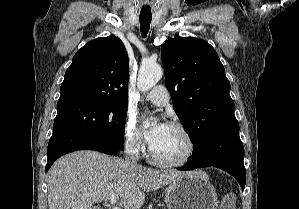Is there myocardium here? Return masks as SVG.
<instances>
[{
    "label": "myocardium",
    "instance_id": "obj_1",
    "mask_svg": "<svg viewBox=\"0 0 299 209\" xmlns=\"http://www.w3.org/2000/svg\"><path fill=\"white\" fill-rule=\"evenodd\" d=\"M167 126L179 131L184 136V138L186 139V142H187V151H186V153L183 155L182 158H180L178 160L167 161V160H163V159L158 158L153 153L151 147H149L148 155H149L151 161L159 167L174 168V167L184 166L195 155V152H196L195 139H194L193 135L191 134V132L183 124H181L179 122H170V123H168Z\"/></svg>",
    "mask_w": 299,
    "mask_h": 209
}]
</instances>
